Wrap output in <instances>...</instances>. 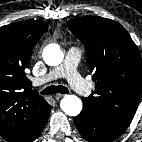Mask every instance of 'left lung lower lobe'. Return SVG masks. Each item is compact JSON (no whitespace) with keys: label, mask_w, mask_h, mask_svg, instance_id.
I'll list each match as a JSON object with an SVG mask.
<instances>
[{"label":"left lung lower lobe","mask_w":142,"mask_h":142,"mask_svg":"<svg viewBox=\"0 0 142 142\" xmlns=\"http://www.w3.org/2000/svg\"><path fill=\"white\" fill-rule=\"evenodd\" d=\"M82 112L74 118L79 133L88 142H111L118 138L128 126L120 125L84 98Z\"/></svg>","instance_id":"left-lung-lower-lobe-1"}]
</instances>
